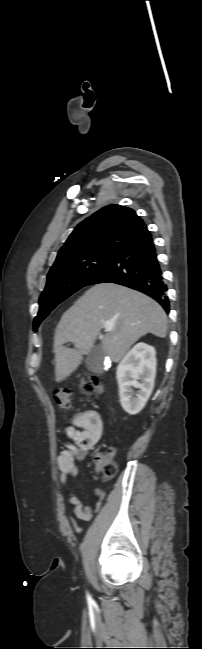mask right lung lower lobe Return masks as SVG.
<instances>
[{"mask_svg":"<svg viewBox=\"0 0 202 649\" xmlns=\"http://www.w3.org/2000/svg\"><path fill=\"white\" fill-rule=\"evenodd\" d=\"M104 282L120 284L143 292L155 299L169 313L167 287L150 233L119 251L90 278L85 286Z\"/></svg>","mask_w":202,"mask_h":649,"instance_id":"1","label":"right lung lower lobe"}]
</instances>
